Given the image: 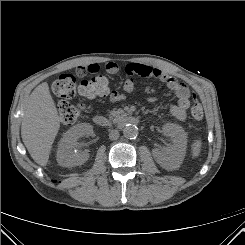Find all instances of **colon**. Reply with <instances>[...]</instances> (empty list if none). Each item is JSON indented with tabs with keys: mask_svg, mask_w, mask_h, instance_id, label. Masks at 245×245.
Masks as SVG:
<instances>
[{
	"mask_svg": "<svg viewBox=\"0 0 245 245\" xmlns=\"http://www.w3.org/2000/svg\"><path fill=\"white\" fill-rule=\"evenodd\" d=\"M52 90L54 95L60 98L58 111L61 122L65 125H70L83 112V106L72 104L68 101L76 94V91L87 98L104 96L109 93V82L105 76L100 75L82 81L77 88L75 77L71 74H63L54 82ZM192 98V115L195 119L200 120L203 117L202 106L195 93H193Z\"/></svg>",
	"mask_w": 245,
	"mask_h": 245,
	"instance_id": "obj_1",
	"label": "colon"
}]
</instances>
